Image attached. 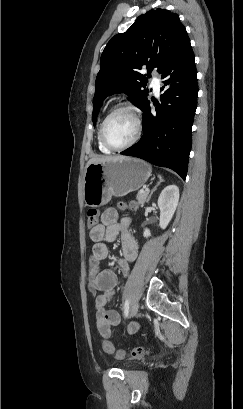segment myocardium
I'll return each mask as SVG.
<instances>
[{"label": "myocardium", "instance_id": "1", "mask_svg": "<svg viewBox=\"0 0 243 409\" xmlns=\"http://www.w3.org/2000/svg\"><path fill=\"white\" fill-rule=\"evenodd\" d=\"M122 111H126L129 112L132 117L134 118L135 121V125H136V130H135V134L133 136V138L125 143L124 145L121 146H115L113 144H111L107 137H106V133H105V127L107 122L109 121V119L111 117H113L115 114L122 112ZM142 119H141V114H140V110L138 109V107H136L134 104L132 103H122L118 106H116L103 120V122L101 123L100 126V139L102 141V143L104 144L105 147H107L108 149H110L111 151H121L124 150L130 146H132L133 144H135L138 139L141 136L142 133Z\"/></svg>", "mask_w": 243, "mask_h": 409}]
</instances>
